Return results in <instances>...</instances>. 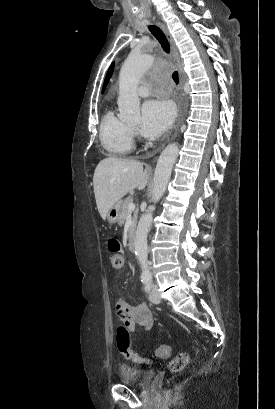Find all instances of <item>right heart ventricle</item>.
<instances>
[{"mask_svg":"<svg viewBox=\"0 0 275 409\" xmlns=\"http://www.w3.org/2000/svg\"><path fill=\"white\" fill-rule=\"evenodd\" d=\"M99 138L104 150L113 157L129 154L133 147L132 131L129 125L108 111L100 124Z\"/></svg>","mask_w":275,"mask_h":409,"instance_id":"right-heart-ventricle-1","label":"right heart ventricle"}]
</instances>
